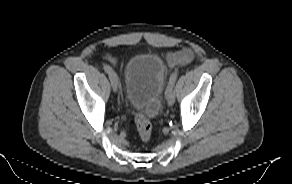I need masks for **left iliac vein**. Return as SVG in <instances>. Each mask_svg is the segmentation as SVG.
<instances>
[{
    "label": "left iliac vein",
    "instance_id": "4c4485c4",
    "mask_svg": "<svg viewBox=\"0 0 292 184\" xmlns=\"http://www.w3.org/2000/svg\"><path fill=\"white\" fill-rule=\"evenodd\" d=\"M167 103L169 106H173L175 103V93L173 88L168 91L166 94Z\"/></svg>",
    "mask_w": 292,
    "mask_h": 184
}]
</instances>
